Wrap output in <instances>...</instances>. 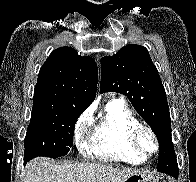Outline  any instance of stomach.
Here are the masks:
<instances>
[{
	"label": "stomach",
	"mask_w": 196,
	"mask_h": 182,
	"mask_svg": "<svg viewBox=\"0 0 196 182\" xmlns=\"http://www.w3.org/2000/svg\"><path fill=\"white\" fill-rule=\"evenodd\" d=\"M125 182H159L158 178L151 174H146L142 172H136L135 174L128 177Z\"/></svg>",
	"instance_id": "1"
}]
</instances>
